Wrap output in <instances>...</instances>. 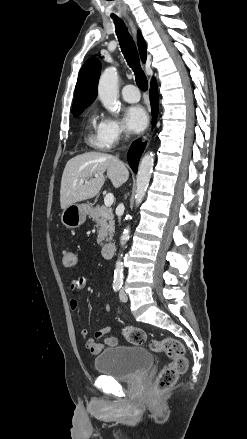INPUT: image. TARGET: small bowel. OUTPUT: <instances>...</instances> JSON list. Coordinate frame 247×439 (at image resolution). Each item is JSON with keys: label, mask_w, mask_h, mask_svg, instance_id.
<instances>
[{"label": "small bowel", "mask_w": 247, "mask_h": 439, "mask_svg": "<svg viewBox=\"0 0 247 439\" xmlns=\"http://www.w3.org/2000/svg\"><path fill=\"white\" fill-rule=\"evenodd\" d=\"M86 279L84 277H77L72 280L70 285V290L72 293L79 292L83 290L86 286ZM70 309L76 311L78 309V301L75 298H71L69 302ZM104 310L106 312H110L111 308L109 305H105ZM111 331V326H105L95 333V338L99 339L107 335ZM80 336L82 338H86L88 331L86 329L80 330ZM118 344V339L114 336H106L102 342L96 341L93 338H89L85 341V347L92 353L98 354L100 353L104 347H112Z\"/></svg>", "instance_id": "small-bowel-1"}]
</instances>
